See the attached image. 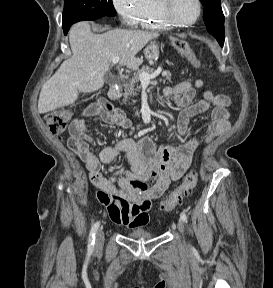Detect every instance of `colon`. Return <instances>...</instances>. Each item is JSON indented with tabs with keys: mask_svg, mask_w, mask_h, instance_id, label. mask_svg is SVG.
Segmentation results:
<instances>
[{
	"mask_svg": "<svg viewBox=\"0 0 273 288\" xmlns=\"http://www.w3.org/2000/svg\"><path fill=\"white\" fill-rule=\"evenodd\" d=\"M175 46L178 52L186 57L192 65L196 67L199 66L198 60L188 43L182 40H177ZM71 117L72 114L69 110L59 109L48 113L45 119L49 130L57 137H60L65 132ZM197 183L198 173L196 171L189 172L184 177L182 183L177 186L171 194L163 199L160 205L161 210L164 212H171L174 210V208L180 204L184 198L192 194Z\"/></svg>",
	"mask_w": 273,
	"mask_h": 288,
	"instance_id": "colon-1",
	"label": "colon"
}]
</instances>
